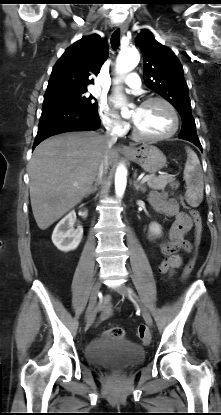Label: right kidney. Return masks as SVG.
Here are the masks:
<instances>
[{"instance_id": "1", "label": "right kidney", "mask_w": 221, "mask_h": 415, "mask_svg": "<svg viewBox=\"0 0 221 415\" xmlns=\"http://www.w3.org/2000/svg\"><path fill=\"white\" fill-rule=\"evenodd\" d=\"M82 217L87 216V211L79 213ZM76 220L74 211L67 214L55 227L52 234V242L61 251L68 252L78 247L83 237V228L78 226L73 228Z\"/></svg>"}]
</instances>
